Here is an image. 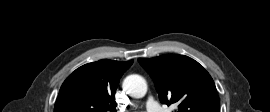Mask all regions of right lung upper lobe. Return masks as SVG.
Masks as SVG:
<instances>
[{
    "label": "right lung upper lobe",
    "mask_w": 270,
    "mask_h": 112,
    "mask_svg": "<svg viewBox=\"0 0 270 112\" xmlns=\"http://www.w3.org/2000/svg\"><path fill=\"white\" fill-rule=\"evenodd\" d=\"M132 63L103 59L79 67L62 84L54 112H116L114 94Z\"/></svg>",
    "instance_id": "1"
}]
</instances>
